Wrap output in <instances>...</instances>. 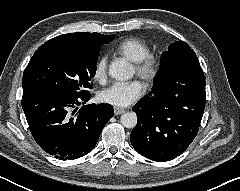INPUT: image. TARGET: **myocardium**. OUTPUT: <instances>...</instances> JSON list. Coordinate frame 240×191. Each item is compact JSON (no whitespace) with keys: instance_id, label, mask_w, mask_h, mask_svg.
Masks as SVG:
<instances>
[{"instance_id":"obj_1","label":"myocardium","mask_w":240,"mask_h":191,"mask_svg":"<svg viewBox=\"0 0 240 191\" xmlns=\"http://www.w3.org/2000/svg\"><path fill=\"white\" fill-rule=\"evenodd\" d=\"M136 74L147 83L154 82L160 72V62L153 55H148L144 59L135 63Z\"/></svg>"}]
</instances>
